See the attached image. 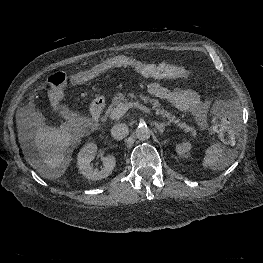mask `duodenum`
I'll return each mask as SVG.
<instances>
[{
	"label": "duodenum",
	"mask_w": 263,
	"mask_h": 263,
	"mask_svg": "<svg viewBox=\"0 0 263 263\" xmlns=\"http://www.w3.org/2000/svg\"><path fill=\"white\" fill-rule=\"evenodd\" d=\"M103 111V102L101 100H95L90 105V113L93 118V120L96 123L100 122V118Z\"/></svg>",
	"instance_id": "obj_1"
}]
</instances>
